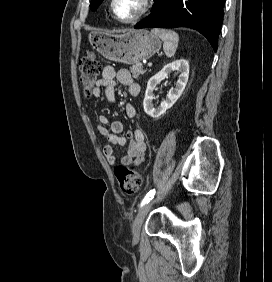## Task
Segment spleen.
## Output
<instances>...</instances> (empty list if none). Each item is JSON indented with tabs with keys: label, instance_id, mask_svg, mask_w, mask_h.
Wrapping results in <instances>:
<instances>
[{
	"label": "spleen",
	"instance_id": "3e777b00",
	"mask_svg": "<svg viewBox=\"0 0 272 282\" xmlns=\"http://www.w3.org/2000/svg\"><path fill=\"white\" fill-rule=\"evenodd\" d=\"M151 33L159 38L162 39L163 43V50L167 57L171 58L175 55L179 36L175 31L166 30V29H159L154 28L151 30Z\"/></svg>",
	"mask_w": 272,
	"mask_h": 282
}]
</instances>
